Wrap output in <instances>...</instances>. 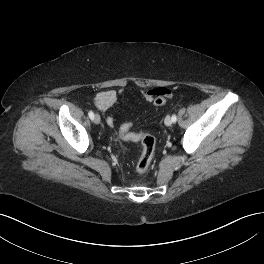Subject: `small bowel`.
<instances>
[{"label":"small bowel","mask_w":264,"mask_h":264,"mask_svg":"<svg viewBox=\"0 0 264 264\" xmlns=\"http://www.w3.org/2000/svg\"><path fill=\"white\" fill-rule=\"evenodd\" d=\"M124 90H106L97 93L94 97V103L96 107L101 111H106L116 105L119 102V98ZM173 95V91L167 87H156L142 92V96L148 102H154L157 98H170ZM107 124L109 126L114 125L113 117L107 118Z\"/></svg>","instance_id":"obj_1"}]
</instances>
